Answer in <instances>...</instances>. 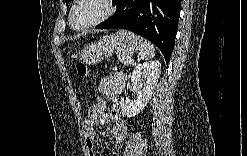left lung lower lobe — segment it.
<instances>
[{
    "instance_id": "1",
    "label": "left lung lower lobe",
    "mask_w": 247,
    "mask_h": 156,
    "mask_svg": "<svg viewBox=\"0 0 247 156\" xmlns=\"http://www.w3.org/2000/svg\"><path fill=\"white\" fill-rule=\"evenodd\" d=\"M181 0H119L116 12L98 29L120 28L154 43L168 64L174 49Z\"/></svg>"
}]
</instances>
